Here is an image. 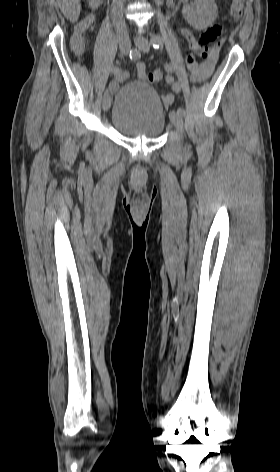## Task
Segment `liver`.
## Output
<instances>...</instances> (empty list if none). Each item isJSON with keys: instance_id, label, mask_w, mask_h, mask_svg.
Segmentation results:
<instances>
[{"instance_id": "6515ba94", "label": "liver", "mask_w": 280, "mask_h": 472, "mask_svg": "<svg viewBox=\"0 0 280 472\" xmlns=\"http://www.w3.org/2000/svg\"><path fill=\"white\" fill-rule=\"evenodd\" d=\"M57 3L68 20L77 22L81 11L80 0H57Z\"/></svg>"}]
</instances>
